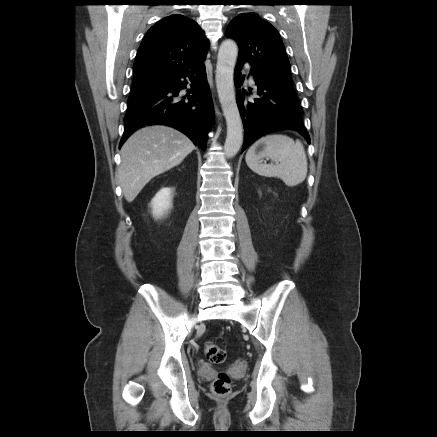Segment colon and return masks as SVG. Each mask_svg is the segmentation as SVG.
Wrapping results in <instances>:
<instances>
[{
	"mask_svg": "<svg viewBox=\"0 0 437 437\" xmlns=\"http://www.w3.org/2000/svg\"><path fill=\"white\" fill-rule=\"evenodd\" d=\"M204 354L207 360L213 364H221L226 359L225 351L214 342L208 341L204 345ZM212 391L215 395L224 397L231 391V379L225 372H220L212 383Z\"/></svg>",
	"mask_w": 437,
	"mask_h": 437,
	"instance_id": "5ec220e1",
	"label": "colon"
}]
</instances>
